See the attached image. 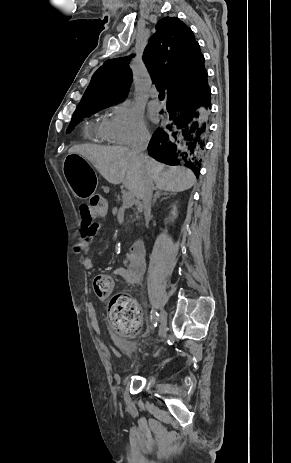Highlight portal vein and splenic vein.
Returning <instances> with one entry per match:
<instances>
[{"label": "portal vein and splenic vein", "instance_id": "18ae733b", "mask_svg": "<svg viewBox=\"0 0 291 463\" xmlns=\"http://www.w3.org/2000/svg\"><path fill=\"white\" fill-rule=\"evenodd\" d=\"M123 204L126 207H130L134 204V195L132 194L131 191H126L123 194Z\"/></svg>", "mask_w": 291, "mask_h": 463}]
</instances>
